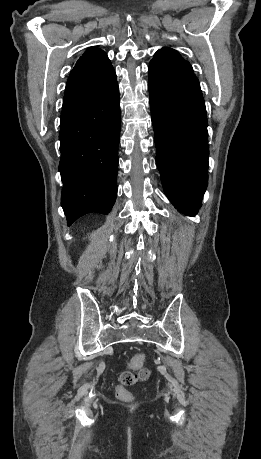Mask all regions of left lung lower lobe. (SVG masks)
Returning a JSON list of instances; mask_svg holds the SVG:
<instances>
[{"mask_svg": "<svg viewBox=\"0 0 261 459\" xmlns=\"http://www.w3.org/2000/svg\"><path fill=\"white\" fill-rule=\"evenodd\" d=\"M149 99L164 192L194 216L208 183L206 108L195 74L150 63Z\"/></svg>", "mask_w": 261, "mask_h": 459, "instance_id": "left-lung-lower-lobe-1", "label": "left lung lower lobe"}]
</instances>
